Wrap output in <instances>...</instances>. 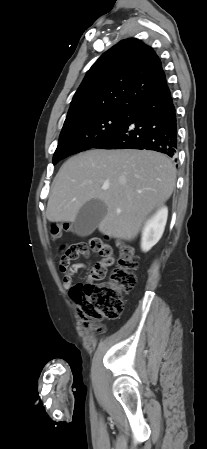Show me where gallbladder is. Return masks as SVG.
I'll return each mask as SVG.
<instances>
[{
  "mask_svg": "<svg viewBox=\"0 0 207 449\" xmlns=\"http://www.w3.org/2000/svg\"><path fill=\"white\" fill-rule=\"evenodd\" d=\"M107 214V206L99 199H91L79 210L74 221L75 232L82 237L94 232Z\"/></svg>",
  "mask_w": 207,
  "mask_h": 449,
  "instance_id": "obj_1",
  "label": "gallbladder"
}]
</instances>
